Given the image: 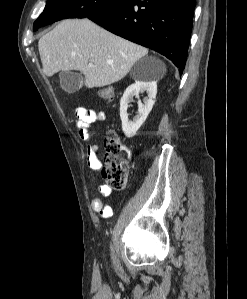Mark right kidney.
Wrapping results in <instances>:
<instances>
[{"instance_id": "obj_1", "label": "right kidney", "mask_w": 247, "mask_h": 299, "mask_svg": "<svg viewBox=\"0 0 247 299\" xmlns=\"http://www.w3.org/2000/svg\"><path fill=\"white\" fill-rule=\"evenodd\" d=\"M144 91L147 92V97L143 100L144 104L138 100V114L130 121L127 114L128 104L133 101L134 96L139 99V93ZM156 93L157 84L153 81H139L130 85L125 90L120 101V118L122 121V130L126 137H133L145 122L155 103Z\"/></svg>"}]
</instances>
